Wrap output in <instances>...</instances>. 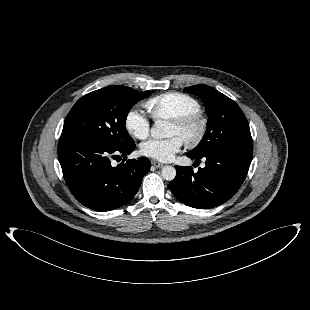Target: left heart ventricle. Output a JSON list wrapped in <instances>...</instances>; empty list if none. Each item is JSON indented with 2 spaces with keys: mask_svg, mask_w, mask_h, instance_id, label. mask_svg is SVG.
Here are the masks:
<instances>
[{
  "mask_svg": "<svg viewBox=\"0 0 310 310\" xmlns=\"http://www.w3.org/2000/svg\"><path fill=\"white\" fill-rule=\"evenodd\" d=\"M198 130V126L196 124L188 127L187 129H181L177 127L176 125L170 123L168 135L169 136H178L184 141L187 138L193 137Z\"/></svg>",
  "mask_w": 310,
  "mask_h": 310,
  "instance_id": "b2bd125f",
  "label": "left heart ventricle"
}]
</instances>
